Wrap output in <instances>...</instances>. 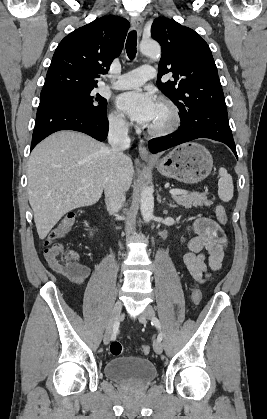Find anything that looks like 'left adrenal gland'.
<instances>
[{
  "instance_id": "1",
  "label": "left adrenal gland",
  "mask_w": 267,
  "mask_h": 419,
  "mask_svg": "<svg viewBox=\"0 0 267 419\" xmlns=\"http://www.w3.org/2000/svg\"><path fill=\"white\" fill-rule=\"evenodd\" d=\"M163 202H165V198H163ZM169 206H170V207H175V205H173V204H171V203L169 204Z\"/></svg>"
}]
</instances>
